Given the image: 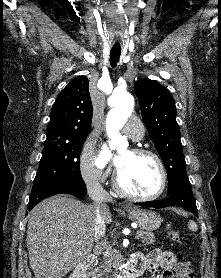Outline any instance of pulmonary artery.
Wrapping results in <instances>:
<instances>
[{
    "label": "pulmonary artery",
    "instance_id": "1",
    "mask_svg": "<svg viewBox=\"0 0 221 278\" xmlns=\"http://www.w3.org/2000/svg\"><path fill=\"white\" fill-rule=\"evenodd\" d=\"M124 133L133 139L134 141H139L144 136V126L141 122L130 119L126 122L123 127Z\"/></svg>",
    "mask_w": 221,
    "mask_h": 278
}]
</instances>
